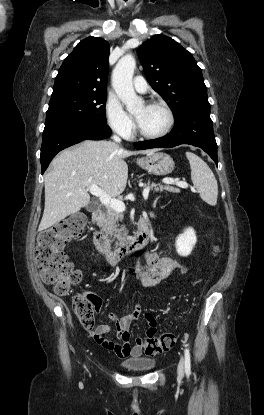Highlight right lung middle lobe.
Segmentation results:
<instances>
[{"instance_id": "dd1d6c3e", "label": "right lung middle lobe", "mask_w": 264, "mask_h": 415, "mask_svg": "<svg viewBox=\"0 0 264 415\" xmlns=\"http://www.w3.org/2000/svg\"><path fill=\"white\" fill-rule=\"evenodd\" d=\"M106 92H65L52 95L45 128L84 121L106 123Z\"/></svg>"}]
</instances>
